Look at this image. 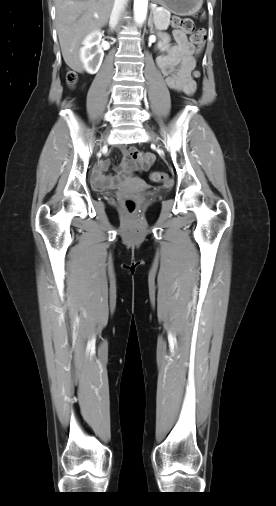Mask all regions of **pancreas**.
I'll list each match as a JSON object with an SVG mask.
<instances>
[{"label":"pancreas","instance_id":"obj_1","mask_svg":"<svg viewBox=\"0 0 276 506\" xmlns=\"http://www.w3.org/2000/svg\"><path fill=\"white\" fill-rule=\"evenodd\" d=\"M154 21L158 30H166L170 24L171 14L164 8L160 10L154 9Z\"/></svg>","mask_w":276,"mask_h":506}]
</instances>
